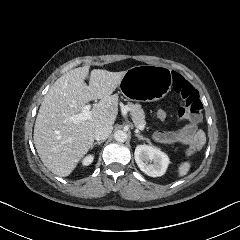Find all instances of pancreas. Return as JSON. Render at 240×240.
<instances>
[{
	"label": "pancreas",
	"mask_w": 240,
	"mask_h": 240,
	"mask_svg": "<svg viewBox=\"0 0 240 240\" xmlns=\"http://www.w3.org/2000/svg\"><path fill=\"white\" fill-rule=\"evenodd\" d=\"M127 107L131 108V115L136 126L145 123V112L139 103L128 102Z\"/></svg>",
	"instance_id": "pancreas-1"
}]
</instances>
